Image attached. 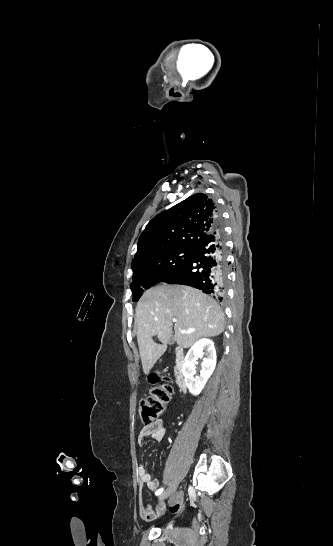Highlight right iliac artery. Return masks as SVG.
<instances>
[{
    "label": "right iliac artery",
    "instance_id": "82829eb1",
    "mask_svg": "<svg viewBox=\"0 0 333 546\" xmlns=\"http://www.w3.org/2000/svg\"><path fill=\"white\" fill-rule=\"evenodd\" d=\"M163 490H164V488L158 489V490L155 492V495L158 496V495L162 494Z\"/></svg>",
    "mask_w": 333,
    "mask_h": 546
}]
</instances>
